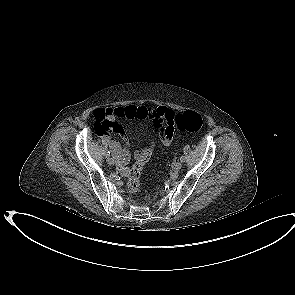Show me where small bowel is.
<instances>
[{
  "instance_id": "1",
  "label": "small bowel",
  "mask_w": 295,
  "mask_h": 295,
  "mask_svg": "<svg viewBox=\"0 0 295 295\" xmlns=\"http://www.w3.org/2000/svg\"><path fill=\"white\" fill-rule=\"evenodd\" d=\"M172 112L166 107H159L158 109H150L146 106L128 105L124 107H117L114 109H96L94 111L95 129L98 135L104 137L108 143L116 161L119 171L122 174L128 173L127 164L130 159L128 149L121 147V145L111 138L105 131H110L115 135H122L124 128L118 123L114 122L116 117L127 119H149L154 130L160 131L161 141L164 146H169L172 142L173 132L163 128L167 114ZM102 117V118H101ZM152 145V144H151ZM145 149V148H144ZM136 158V152H135Z\"/></svg>"
}]
</instances>
